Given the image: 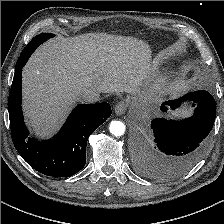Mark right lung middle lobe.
Instances as JSON below:
<instances>
[{
  "mask_svg": "<svg viewBox=\"0 0 224 224\" xmlns=\"http://www.w3.org/2000/svg\"><path fill=\"white\" fill-rule=\"evenodd\" d=\"M54 34L51 33H42L39 34L37 36H35L28 44L27 46L24 48L26 50L29 49H33L35 50L40 44H42L44 41H46L47 39H50L52 37H54Z\"/></svg>",
  "mask_w": 224,
  "mask_h": 224,
  "instance_id": "1",
  "label": "right lung middle lobe"
}]
</instances>
